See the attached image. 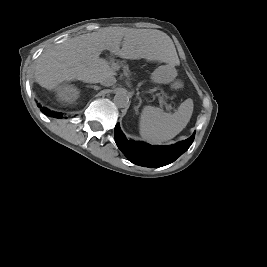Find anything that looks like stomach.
Segmentation results:
<instances>
[{"mask_svg": "<svg viewBox=\"0 0 267 267\" xmlns=\"http://www.w3.org/2000/svg\"><path fill=\"white\" fill-rule=\"evenodd\" d=\"M176 76V70L169 66L163 65L159 66L151 74V81L157 84H169L174 80Z\"/></svg>", "mask_w": 267, "mask_h": 267, "instance_id": "0dacf381", "label": "stomach"}]
</instances>
